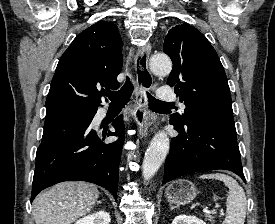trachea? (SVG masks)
Listing matches in <instances>:
<instances>
[{"mask_svg":"<svg viewBox=\"0 0 275 224\" xmlns=\"http://www.w3.org/2000/svg\"><path fill=\"white\" fill-rule=\"evenodd\" d=\"M133 92V84L127 77V80L123 87L119 91L107 92L106 96L111 100L110 105L123 107L130 100V96ZM149 106L151 108L172 105L171 103L160 101L154 98L151 94L147 93Z\"/></svg>","mask_w":275,"mask_h":224,"instance_id":"trachea-1","label":"trachea"}]
</instances>
